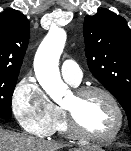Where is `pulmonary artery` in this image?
Instances as JSON below:
<instances>
[{"instance_id": "pulmonary-artery-1", "label": "pulmonary artery", "mask_w": 131, "mask_h": 151, "mask_svg": "<svg viewBox=\"0 0 131 151\" xmlns=\"http://www.w3.org/2000/svg\"><path fill=\"white\" fill-rule=\"evenodd\" d=\"M61 74L65 81L78 85L82 79V71L78 64L71 59L65 60L61 65Z\"/></svg>"}]
</instances>
